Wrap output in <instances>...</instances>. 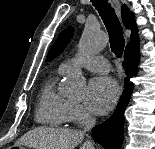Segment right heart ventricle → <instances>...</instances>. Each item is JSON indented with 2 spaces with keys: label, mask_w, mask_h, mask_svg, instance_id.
<instances>
[{
  "label": "right heart ventricle",
  "mask_w": 155,
  "mask_h": 149,
  "mask_svg": "<svg viewBox=\"0 0 155 149\" xmlns=\"http://www.w3.org/2000/svg\"><path fill=\"white\" fill-rule=\"evenodd\" d=\"M63 71L59 68L58 74ZM57 77H50L42 87L39 102L36 109V121L38 123L60 127L68 120L69 101L55 89Z\"/></svg>",
  "instance_id": "1"
}]
</instances>
